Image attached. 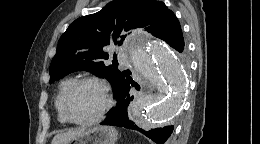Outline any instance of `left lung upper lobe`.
<instances>
[{
    "instance_id": "left-lung-upper-lobe-1",
    "label": "left lung upper lobe",
    "mask_w": 260,
    "mask_h": 144,
    "mask_svg": "<svg viewBox=\"0 0 260 144\" xmlns=\"http://www.w3.org/2000/svg\"><path fill=\"white\" fill-rule=\"evenodd\" d=\"M138 28L166 43L181 30L177 17L162 1H111L99 12L72 22L60 37L49 68L50 83L83 69L106 78L115 92L125 73L104 64L109 56L103 49L113 43L122 45L124 34Z\"/></svg>"
}]
</instances>
